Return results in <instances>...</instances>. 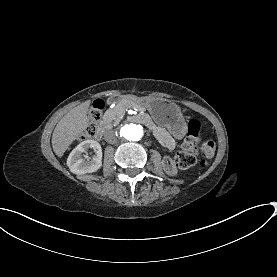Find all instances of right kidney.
<instances>
[{
	"label": "right kidney",
	"mask_w": 277,
	"mask_h": 277,
	"mask_svg": "<svg viewBox=\"0 0 277 277\" xmlns=\"http://www.w3.org/2000/svg\"><path fill=\"white\" fill-rule=\"evenodd\" d=\"M89 148L95 152L92 158L83 155ZM67 166L74 174H85L97 171L102 166L101 145L95 140L81 142L69 154Z\"/></svg>",
	"instance_id": "obj_1"
}]
</instances>
